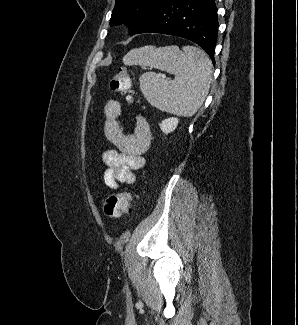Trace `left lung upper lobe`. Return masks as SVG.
I'll list each match as a JSON object with an SVG mask.
<instances>
[{
  "instance_id": "1",
  "label": "left lung upper lobe",
  "mask_w": 298,
  "mask_h": 325,
  "mask_svg": "<svg viewBox=\"0 0 298 325\" xmlns=\"http://www.w3.org/2000/svg\"><path fill=\"white\" fill-rule=\"evenodd\" d=\"M165 1L166 0H116L110 24L118 25L127 20L130 24V31L133 33L146 22Z\"/></svg>"
}]
</instances>
